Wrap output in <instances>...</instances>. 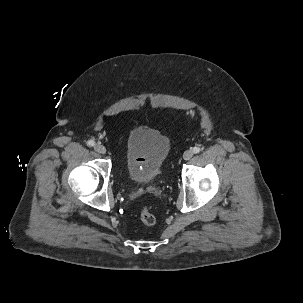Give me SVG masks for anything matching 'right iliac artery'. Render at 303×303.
I'll return each instance as SVG.
<instances>
[{
  "label": "right iliac artery",
  "instance_id": "obj_1",
  "mask_svg": "<svg viewBox=\"0 0 303 303\" xmlns=\"http://www.w3.org/2000/svg\"><path fill=\"white\" fill-rule=\"evenodd\" d=\"M87 145L90 146V147H92V146L95 145V142H94L93 140H89V141L87 142Z\"/></svg>",
  "mask_w": 303,
  "mask_h": 303
}]
</instances>
